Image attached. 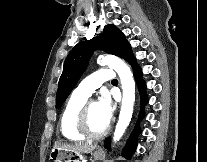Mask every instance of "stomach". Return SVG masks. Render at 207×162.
Instances as JSON below:
<instances>
[{"label":"stomach","mask_w":207,"mask_h":162,"mask_svg":"<svg viewBox=\"0 0 207 162\" xmlns=\"http://www.w3.org/2000/svg\"><path fill=\"white\" fill-rule=\"evenodd\" d=\"M94 159H100L103 156L102 151L97 150L93 154ZM49 160L51 162H81L80 160H83V157L81 154H75L70 151L53 148L50 152Z\"/></svg>","instance_id":"1"}]
</instances>
